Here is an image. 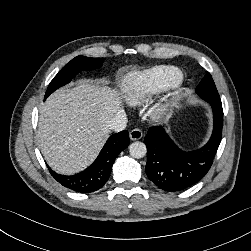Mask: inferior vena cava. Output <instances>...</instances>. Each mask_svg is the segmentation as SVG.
I'll return each mask as SVG.
<instances>
[{"label": "inferior vena cava", "mask_w": 251, "mask_h": 251, "mask_svg": "<svg viewBox=\"0 0 251 251\" xmlns=\"http://www.w3.org/2000/svg\"><path fill=\"white\" fill-rule=\"evenodd\" d=\"M127 121L125 112L121 111L108 121L107 126L111 131L120 132L126 128Z\"/></svg>", "instance_id": "obj_1"}]
</instances>
